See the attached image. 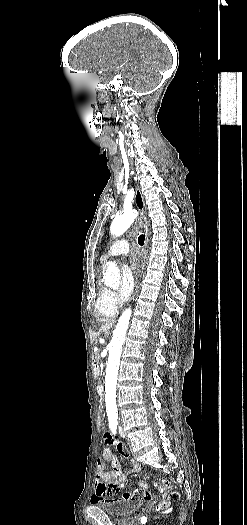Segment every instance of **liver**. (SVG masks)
<instances>
[{
    "label": "liver",
    "mask_w": 247,
    "mask_h": 525,
    "mask_svg": "<svg viewBox=\"0 0 247 525\" xmlns=\"http://www.w3.org/2000/svg\"><path fill=\"white\" fill-rule=\"evenodd\" d=\"M114 323L115 321H104L102 325V331H104V333H107V331H109V329L113 327Z\"/></svg>",
    "instance_id": "6515ba94"
}]
</instances>
